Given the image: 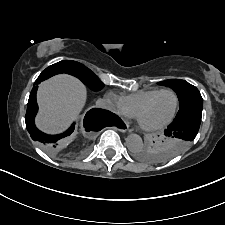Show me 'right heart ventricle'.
Instances as JSON below:
<instances>
[{
    "mask_svg": "<svg viewBox=\"0 0 225 225\" xmlns=\"http://www.w3.org/2000/svg\"><path fill=\"white\" fill-rule=\"evenodd\" d=\"M159 90V88L139 90L137 92L124 95L121 99L128 113L132 116H136L137 110L140 106Z\"/></svg>",
    "mask_w": 225,
    "mask_h": 225,
    "instance_id": "1",
    "label": "right heart ventricle"
}]
</instances>
